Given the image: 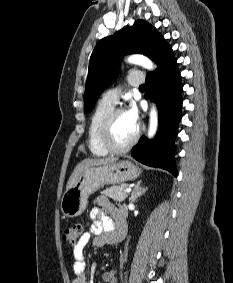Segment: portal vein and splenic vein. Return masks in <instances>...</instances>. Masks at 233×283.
Masks as SVG:
<instances>
[{"mask_svg":"<svg viewBox=\"0 0 233 283\" xmlns=\"http://www.w3.org/2000/svg\"><path fill=\"white\" fill-rule=\"evenodd\" d=\"M124 192L130 193V192H131V188H126V189L124 190Z\"/></svg>","mask_w":233,"mask_h":283,"instance_id":"obj_1","label":"portal vein and splenic vein"}]
</instances>
